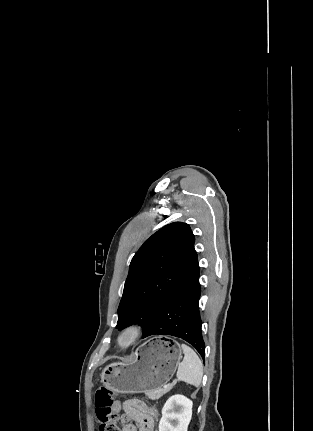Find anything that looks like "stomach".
Listing matches in <instances>:
<instances>
[{
  "label": "stomach",
  "mask_w": 313,
  "mask_h": 431,
  "mask_svg": "<svg viewBox=\"0 0 313 431\" xmlns=\"http://www.w3.org/2000/svg\"><path fill=\"white\" fill-rule=\"evenodd\" d=\"M182 355L180 345L167 337L142 344L132 358L106 366L101 382L118 393H142L162 389L173 377Z\"/></svg>",
  "instance_id": "stomach-1"
}]
</instances>
